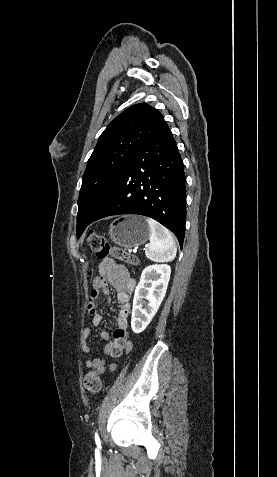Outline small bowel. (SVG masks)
<instances>
[{"instance_id": "small-bowel-1", "label": "small bowel", "mask_w": 277, "mask_h": 477, "mask_svg": "<svg viewBox=\"0 0 277 477\" xmlns=\"http://www.w3.org/2000/svg\"><path fill=\"white\" fill-rule=\"evenodd\" d=\"M100 276L95 280L94 289L88 299V309L93 316V325L98 327L101 324L102 316L96 311V304L100 292L109 297L110 291L108 285H111L117 292V299L120 303L118 315L116 319L117 326L113 332V339L110 334L102 330L100 337L107 341L104 352L109 357H119L123 352H129L131 342L128 339V316L130 313L129 299L133 292L136 281L130 276L127 269L117 264L112 258H104L99 265ZM91 329L86 328L82 333V350L85 353L91 352V346L88 342L91 336ZM86 367L92 368L99 374L104 373L107 369L114 371L116 364L112 363L107 366L106 358H90L85 362Z\"/></svg>"}]
</instances>
